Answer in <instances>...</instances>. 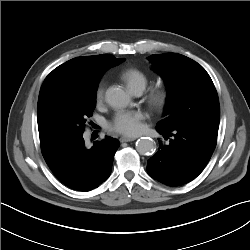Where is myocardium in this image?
<instances>
[{"label": "myocardium", "instance_id": "f54148a6", "mask_svg": "<svg viewBox=\"0 0 250 250\" xmlns=\"http://www.w3.org/2000/svg\"><path fill=\"white\" fill-rule=\"evenodd\" d=\"M169 91L166 87L153 88L147 95V101L156 110H162L168 103Z\"/></svg>", "mask_w": 250, "mask_h": 250}]
</instances>
